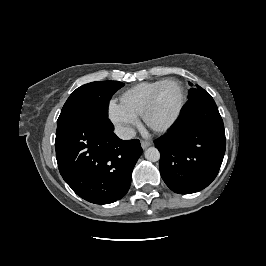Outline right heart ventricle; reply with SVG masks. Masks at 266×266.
<instances>
[{"instance_id":"1","label":"right heart ventricle","mask_w":266,"mask_h":266,"mask_svg":"<svg viewBox=\"0 0 266 266\" xmlns=\"http://www.w3.org/2000/svg\"><path fill=\"white\" fill-rule=\"evenodd\" d=\"M163 81L164 79L155 80L151 82H142L131 87L122 94V104L137 116L142 115L143 110L153 91Z\"/></svg>"}]
</instances>
